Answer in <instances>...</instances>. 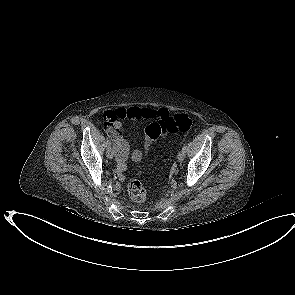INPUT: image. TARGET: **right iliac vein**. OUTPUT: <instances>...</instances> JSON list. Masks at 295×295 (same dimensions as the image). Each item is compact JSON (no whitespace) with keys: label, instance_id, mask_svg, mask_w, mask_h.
<instances>
[{"label":"right iliac vein","instance_id":"right-iliac-vein-1","mask_svg":"<svg viewBox=\"0 0 295 295\" xmlns=\"http://www.w3.org/2000/svg\"><path fill=\"white\" fill-rule=\"evenodd\" d=\"M106 154H107L108 158H110V159L114 158V156H115L114 147H111V146L107 147Z\"/></svg>","mask_w":295,"mask_h":295}]
</instances>
